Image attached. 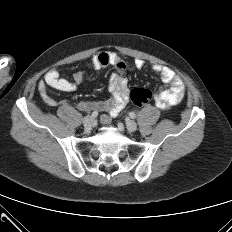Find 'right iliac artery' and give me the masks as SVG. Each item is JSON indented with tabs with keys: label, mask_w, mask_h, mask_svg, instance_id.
Returning <instances> with one entry per match:
<instances>
[{
	"label": "right iliac artery",
	"mask_w": 232,
	"mask_h": 232,
	"mask_svg": "<svg viewBox=\"0 0 232 232\" xmlns=\"http://www.w3.org/2000/svg\"><path fill=\"white\" fill-rule=\"evenodd\" d=\"M98 116V112L97 111H94L92 114H91V117L92 118H96Z\"/></svg>",
	"instance_id": "obj_1"
}]
</instances>
